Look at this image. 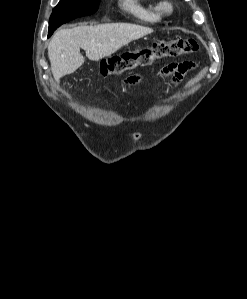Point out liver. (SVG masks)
<instances>
[{"label": "liver", "mask_w": 247, "mask_h": 299, "mask_svg": "<svg viewBox=\"0 0 247 299\" xmlns=\"http://www.w3.org/2000/svg\"><path fill=\"white\" fill-rule=\"evenodd\" d=\"M153 32V29L129 23H106L78 26L57 31L48 46V56L54 79L76 71L85 61L80 48L88 59L98 61Z\"/></svg>", "instance_id": "liver-1"}]
</instances>
